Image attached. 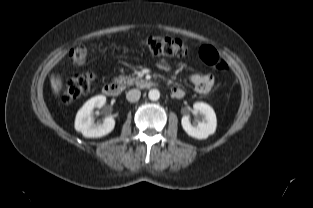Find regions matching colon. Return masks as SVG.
<instances>
[{
	"label": "colon",
	"instance_id": "obj_1",
	"mask_svg": "<svg viewBox=\"0 0 313 208\" xmlns=\"http://www.w3.org/2000/svg\"><path fill=\"white\" fill-rule=\"evenodd\" d=\"M142 45L154 55L184 57L188 53L187 46L179 41L165 37H148L142 41ZM89 47L86 44H79L70 51V58L75 65H82L86 62ZM201 59L216 70L225 72L228 65L220 54L211 46H202L200 51ZM94 75L85 72L74 75L67 79L61 89V100L64 103L87 95L92 87Z\"/></svg>",
	"mask_w": 313,
	"mask_h": 208
}]
</instances>
